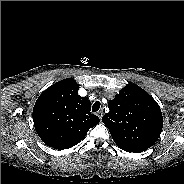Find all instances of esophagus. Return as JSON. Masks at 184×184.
<instances>
[{
	"label": "esophagus",
	"instance_id": "1",
	"mask_svg": "<svg viewBox=\"0 0 184 184\" xmlns=\"http://www.w3.org/2000/svg\"><path fill=\"white\" fill-rule=\"evenodd\" d=\"M103 114H104L103 110L97 112V115L100 119L102 118Z\"/></svg>",
	"mask_w": 184,
	"mask_h": 184
}]
</instances>
